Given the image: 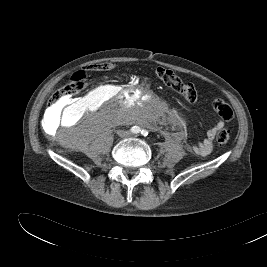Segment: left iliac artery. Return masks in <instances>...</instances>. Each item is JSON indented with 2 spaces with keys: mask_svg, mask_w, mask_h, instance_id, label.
Segmentation results:
<instances>
[{
  "mask_svg": "<svg viewBox=\"0 0 267 267\" xmlns=\"http://www.w3.org/2000/svg\"><path fill=\"white\" fill-rule=\"evenodd\" d=\"M141 134L143 135V136H147L148 135V131L147 130H145V129H143L142 131H141Z\"/></svg>",
  "mask_w": 267,
  "mask_h": 267,
  "instance_id": "obj_1",
  "label": "left iliac artery"
}]
</instances>
